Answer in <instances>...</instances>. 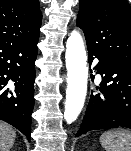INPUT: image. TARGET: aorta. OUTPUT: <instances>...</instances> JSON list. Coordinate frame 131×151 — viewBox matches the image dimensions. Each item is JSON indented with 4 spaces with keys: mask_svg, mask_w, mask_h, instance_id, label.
I'll return each mask as SVG.
<instances>
[{
    "mask_svg": "<svg viewBox=\"0 0 131 151\" xmlns=\"http://www.w3.org/2000/svg\"><path fill=\"white\" fill-rule=\"evenodd\" d=\"M67 90L64 119L67 124L73 123L84 106L88 69L84 42L80 33L73 31L66 42Z\"/></svg>",
    "mask_w": 131,
    "mask_h": 151,
    "instance_id": "762f6f07",
    "label": "aorta"
}]
</instances>
